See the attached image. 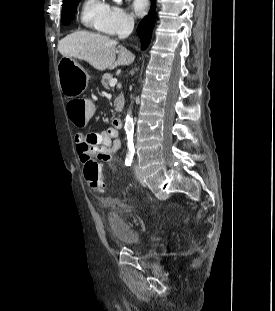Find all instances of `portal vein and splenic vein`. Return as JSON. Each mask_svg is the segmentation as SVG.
Wrapping results in <instances>:
<instances>
[{"mask_svg":"<svg viewBox=\"0 0 275 311\" xmlns=\"http://www.w3.org/2000/svg\"><path fill=\"white\" fill-rule=\"evenodd\" d=\"M117 84V79H112L110 81V86H115Z\"/></svg>","mask_w":275,"mask_h":311,"instance_id":"portal-vein-and-splenic-vein-1","label":"portal vein and splenic vein"}]
</instances>
